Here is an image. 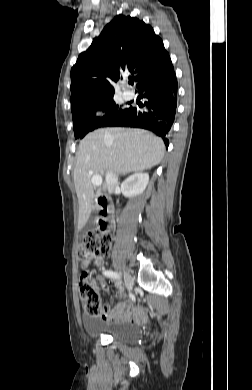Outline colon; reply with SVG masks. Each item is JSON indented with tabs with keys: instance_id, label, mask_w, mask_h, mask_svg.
I'll return each mask as SVG.
<instances>
[{
	"instance_id": "1",
	"label": "colon",
	"mask_w": 252,
	"mask_h": 390,
	"mask_svg": "<svg viewBox=\"0 0 252 390\" xmlns=\"http://www.w3.org/2000/svg\"><path fill=\"white\" fill-rule=\"evenodd\" d=\"M109 241L110 236L107 234L90 233L85 236L78 251L82 262L107 256L110 253ZM80 293L86 311L94 316L102 315L100 294L88 271L80 274Z\"/></svg>"
}]
</instances>
